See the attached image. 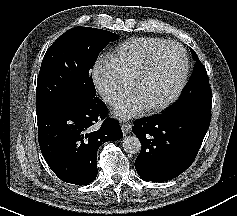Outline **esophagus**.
Instances as JSON below:
<instances>
[{
  "label": "esophagus",
  "mask_w": 237,
  "mask_h": 216,
  "mask_svg": "<svg viewBox=\"0 0 237 216\" xmlns=\"http://www.w3.org/2000/svg\"><path fill=\"white\" fill-rule=\"evenodd\" d=\"M122 132L124 135H127L132 130V124L128 121H123L121 123Z\"/></svg>",
  "instance_id": "34e87169"
}]
</instances>
